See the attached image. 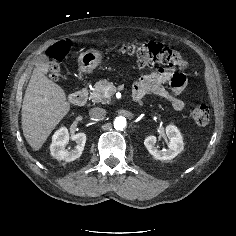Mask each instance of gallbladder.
<instances>
[{"label":"gallbladder","mask_w":236,"mask_h":236,"mask_svg":"<svg viewBox=\"0 0 236 236\" xmlns=\"http://www.w3.org/2000/svg\"><path fill=\"white\" fill-rule=\"evenodd\" d=\"M37 65L44 70V72L48 71L49 68V59L46 55H41L37 58Z\"/></svg>","instance_id":"1"}]
</instances>
